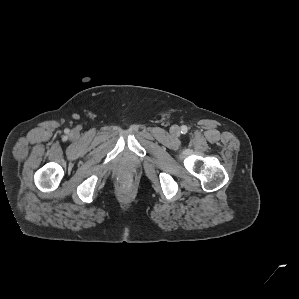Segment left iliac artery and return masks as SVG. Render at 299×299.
Instances as JSON below:
<instances>
[{"instance_id":"44dca946","label":"left iliac artery","mask_w":299,"mask_h":299,"mask_svg":"<svg viewBox=\"0 0 299 299\" xmlns=\"http://www.w3.org/2000/svg\"><path fill=\"white\" fill-rule=\"evenodd\" d=\"M187 131H188L187 126L183 125V126L181 127V133H182V134H186Z\"/></svg>"}]
</instances>
